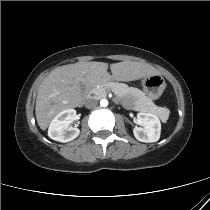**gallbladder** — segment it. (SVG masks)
I'll return each mask as SVG.
<instances>
[{"label":"gallbladder","instance_id":"gallbladder-1","mask_svg":"<svg viewBox=\"0 0 210 210\" xmlns=\"http://www.w3.org/2000/svg\"><path fill=\"white\" fill-rule=\"evenodd\" d=\"M80 87L82 90H85V88H86L83 84H81Z\"/></svg>","mask_w":210,"mask_h":210}]
</instances>
